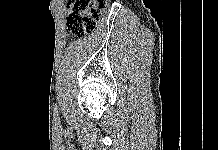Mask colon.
Segmentation results:
<instances>
[{"instance_id":"5ec220e1","label":"colon","mask_w":218,"mask_h":150,"mask_svg":"<svg viewBox=\"0 0 218 150\" xmlns=\"http://www.w3.org/2000/svg\"><path fill=\"white\" fill-rule=\"evenodd\" d=\"M109 0H67L66 14L69 31L82 36L94 29Z\"/></svg>"}]
</instances>
